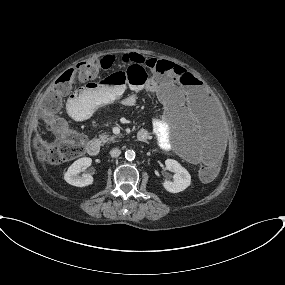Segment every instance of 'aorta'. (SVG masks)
<instances>
[{
  "instance_id": "obj_1",
  "label": "aorta",
  "mask_w": 285,
  "mask_h": 285,
  "mask_svg": "<svg viewBox=\"0 0 285 285\" xmlns=\"http://www.w3.org/2000/svg\"><path fill=\"white\" fill-rule=\"evenodd\" d=\"M125 158L128 160V161H132L135 159V151L133 150H127L125 152Z\"/></svg>"
}]
</instances>
